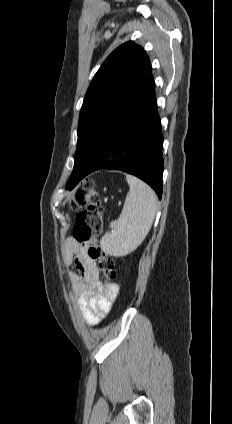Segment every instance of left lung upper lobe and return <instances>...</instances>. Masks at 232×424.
<instances>
[{
    "label": "left lung upper lobe",
    "instance_id": "1",
    "mask_svg": "<svg viewBox=\"0 0 232 424\" xmlns=\"http://www.w3.org/2000/svg\"><path fill=\"white\" fill-rule=\"evenodd\" d=\"M151 74L141 46L132 41L115 49L95 74L83 101L71 176L81 175L92 147Z\"/></svg>",
    "mask_w": 232,
    "mask_h": 424
}]
</instances>
